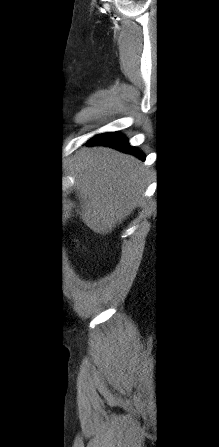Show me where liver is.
Masks as SVG:
<instances>
[{
  "label": "liver",
  "instance_id": "1",
  "mask_svg": "<svg viewBox=\"0 0 219 447\" xmlns=\"http://www.w3.org/2000/svg\"><path fill=\"white\" fill-rule=\"evenodd\" d=\"M74 170L81 218L102 235L111 233L131 214L149 178L138 159L107 147L82 148Z\"/></svg>",
  "mask_w": 219,
  "mask_h": 447
}]
</instances>
